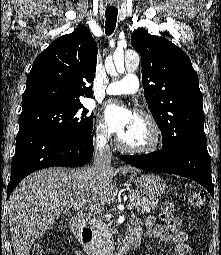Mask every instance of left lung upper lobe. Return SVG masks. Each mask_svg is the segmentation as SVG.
Returning <instances> with one entry per match:
<instances>
[{"instance_id": "left-lung-upper-lobe-1", "label": "left lung upper lobe", "mask_w": 221, "mask_h": 255, "mask_svg": "<svg viewBox=\"0 0 221 255\" xmlns=\"http://www.w3.org/2000/svg\"><path fill=\"white\" fill-rule=\"evenodd\" d=\"M131 44L141 56L148 107L170 153L188 143H206L203 95L187 54L165 38L138 28Z\"/></svg>"}]
</instances>
